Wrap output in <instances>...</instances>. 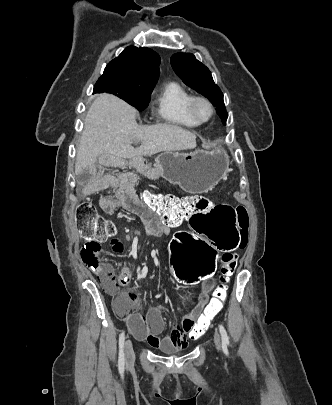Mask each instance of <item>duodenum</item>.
<instances>
[{"label": "duodenum", "mask_w": 332, "mask_h": 405, "mask_svg": "<svg viewBox=\"0 0 332 405\" xmlns=\"http://www.w3.org/2000/svg\"><path fill=\"white\" fill-rule=\"evenodd\" d=\"M151 217H152L153 221L158 222L160 220L159 216H155L154 212L151 214Z\"/></svg>", "instance_id": "1"}]
</instances>
